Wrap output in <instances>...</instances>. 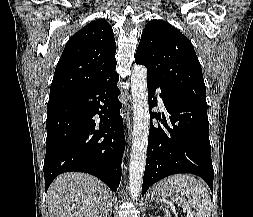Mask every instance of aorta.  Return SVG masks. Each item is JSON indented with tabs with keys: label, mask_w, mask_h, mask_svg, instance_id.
<instances>
[{
	"label": "aorta",
	"mask_w": 253,
	"mask_h": 217,
	"mask_svg": "<svg viewBox=\"0 0 253 217\" xmlns=\"http://www.w3.org/2000/svg\"><path fill=\"white\" fill-rule=\"evenodd\" d=\"M133 99V134L129 164V193L137 200L143 182L149 136L150 114L147 91V69L135 65L131 75Z\"/></svg>",
	"instance_id": "aorta-1"
}]
</instances>
